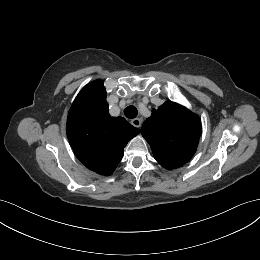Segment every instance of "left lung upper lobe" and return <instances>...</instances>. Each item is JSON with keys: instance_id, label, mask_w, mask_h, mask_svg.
Here are the masks:
<instances>
[{"instance_id": "obj_1", "label": "left lung upper lobe", "mask_w": 260, "mask_h": 260, "mask_svg": "<svg viewBox=\"0 0 260 260\" xmlns=\"http://www.w3.org/2000/svg\"><path fill=\"white\" fill-rule=\"evenodd\" d=\"M157 162L171 170L183 166L193 157L201 136V120L187 108L166 101L141 128Z\"/></svg>"}]
</instances>
